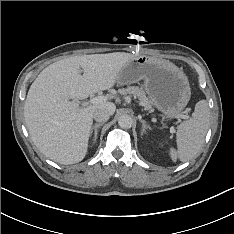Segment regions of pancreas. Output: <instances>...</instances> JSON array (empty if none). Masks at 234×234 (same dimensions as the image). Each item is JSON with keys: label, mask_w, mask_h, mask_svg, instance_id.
<instances>
[{"label": "pancreas", "mask_w": 234, "mask_h": 234, "mask_svg": "<svg viewBox=\"0 0 234 234\" xmlns=\"http://www.w3.org/2000/svg\"><path fill=\"white\" fill-rule=\"evenodd\" d=\"M118 92L121 95L131 94L134 96V98H138L140 101V104L144 106L145 110H152L151 103L149 99L146 96L145 91L142 87L138 86H128L127 88L119 89Z\"/></svg>", "instance_id": "obj_1"}]
</instances>
